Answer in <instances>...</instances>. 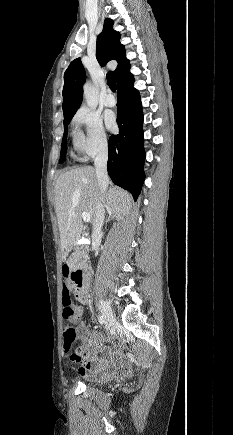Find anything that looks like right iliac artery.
<instances>
[{"instance_id":"right-iliac-artery-1","label":"right iliac artery","mask_w":233,"mask_h":435,"mask_svg":"<svg viewBox=\"0 0 233 435\" xmlns=\"http://www.w3.org/2000/svg\"><path fill=\"white\" fill-rule=\"evenodd\" d=\"M98 320H99V322H100V324H104L105 323V319H104V317H103V315L102 316H98Z\"/></svg>"}]
</instances>
